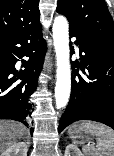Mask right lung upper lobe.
<instances>
[{"label":"right lung upper lobe","instance_id":"obj_1","mask_svg":"<svg viewBox=\"0 0 114 156\" xmlns=\"http://www.w3.org/2000/svg\"><path fill=\"white\" fill-rule=\"evenodd\" d=\"M39 0H0V39L39 22Z\"/></svg>","mask_w":114,"mask_h":156}]
</instances>
